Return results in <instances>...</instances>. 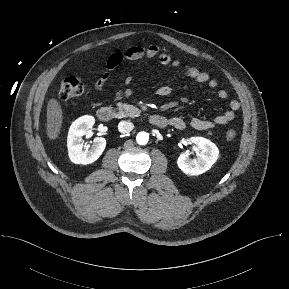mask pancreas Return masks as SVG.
<instances>
[{
	"instance_id": "pancreas-1",
	"label": "pancreas",
	"mask_w": 289,
	"mask_h": 289,
	"mask_svg": "<svg viewBox=\"0 0 289 289\" xmlns=\"http://www.w3.org/2000/svg\"><path fill=\"white\" fill-rule=\"evenodd\" d=\"M117 108L128 117H138L141 113L137 107L126 103H117Z\"/></svg>"
}]
</instances>
